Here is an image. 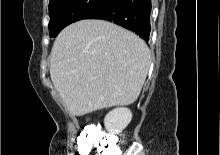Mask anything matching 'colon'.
<instances>
[{
  "instance_id": "obj_1",
  "label": "colon",
  "mask_w": 220,
  "mask_h": 155,
  "mask_svg": "<svg viewBox=\"0 0 220 155\" xmlns=\"http://www.w3.org/2000/svg\"><path fill=\"white\" fill-rule=\"evenodd\" d=\"M78 141L81 155H113L114 144L94 129L87 131Z\"/></svg>"
}]
</instances>
